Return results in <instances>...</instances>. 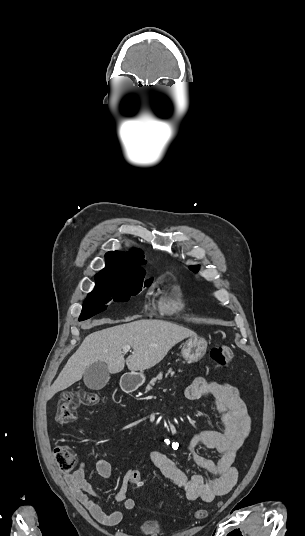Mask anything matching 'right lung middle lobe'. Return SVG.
Segmentation results:
<instances>
[{
  "label": "right lung middle lobe",
  "instance_id": "dd1d6c3e",
  "mask_svg": "<svg viewBox=\"0 0 305 536\" xmlns=\"http://www.w3.org/2000/svg\"><path fill=\"white\" fill-rule=\"evenodd\" d=\"M151 283V279L145 282L143 279L124 281L96 280L94 290L85 299L79 321L104 311L110 301H128L130 296L136 295L142 290L143 285L149 286Z\"/></svg>",
  "mask_w": 305,
  "mask_h": 536
}]
</instances>
